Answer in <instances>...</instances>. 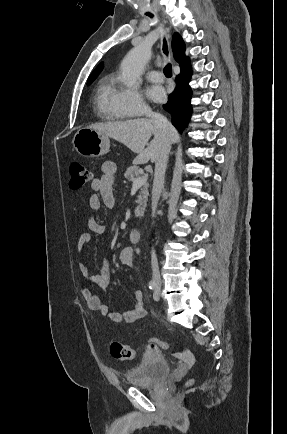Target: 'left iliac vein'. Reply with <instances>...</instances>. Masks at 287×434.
I'll return each instance as SVG.
<instances>
[{
    "instance_id": "1",
    "label": "left iliac vein",
    "mask_w": 287,
    "mask_h": 434,
    "mask_svg": "<svg viewBox=\"0 0 287 434\" xmlns=\"http://www.w3.org/2000/svg\"><path fill=\"white\" fill-rule=\"evenodd\" d=\"M153 298L155 301H158L160 299V287L157 286V288L155 289L154 293H153Z\"/></svg>"
}]
</instances>
